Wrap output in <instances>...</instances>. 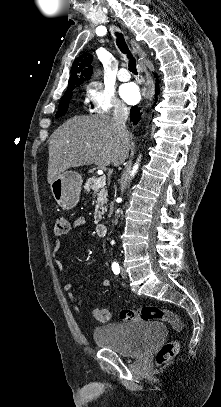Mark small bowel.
Instances as JSON below:
<instances>
[{"label": "small bowel", "instance_id": "small-bowel-1", "mask_svg": "<svg viewBox=\"0 0 221 407\" xmlns=\"http://www.w3.org/2000/svg\"><path fill=\"white\" fill-rule=\"evenodd\" d=\"M85 226H86V220H85L84 217L77 218L73 223V227L75 229H81V228H84ZM61 247H62V242H61L60 239H57L55 241V243H54L53 255H54L55 263H56L57 267L62 271L63 270V263L59 259L56 258L58 252L61 249ZM102 285L104 287L109 286L110 285V280L109 279H104L103 282H102ZM62 288H63L64 291H66L68 293V297H69V299L71 301H73V302H75L77 304L81 303L80 300L77 298V296L73 292H71V289H72V284L71 283L64 282L62 284Z\"/></svg>", "mask_w": 221, "mask_h": 407}]
</instances>
